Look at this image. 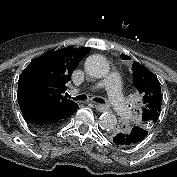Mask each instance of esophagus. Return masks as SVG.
Returning a JSON list of instances; mask_svg holds the SVG:
<instances>
[{
	"label": "esophagus",
	"instance_id": "34e87169",
	"mask_svg": "<svg viewBox=\"0 0 177 177\" xmlns=\"http://www.w3.org/2000/svg\"><path fill=\"white\" fill-rule=\"evenodd\" d=\"M94 105H95V108L97 110H99V111H106V110H108V107L106 105H104V104L95 102Z\"/></svg>",
	"mask_w": 177,
	"mask_h": 177
}]
</instances>
